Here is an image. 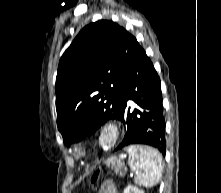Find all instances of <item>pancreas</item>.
I'll list each match as a JSON object with an SVG mask.
<instances>
[{
  "label": "pancreas",
  "instance_id": "cf45deb5",
  "mask_svg": "<svg viewBox=\"0 0 221 193\" xmlns=\"http://www.w3.org/2000/svg\"><path fill=\"white\" fill-rule=\"evenodd\" d=\"M116 171H119V168H116Z\"/></svg>",
  "mask_w": 221,
  "mask_h": 193
}]
</instances>
